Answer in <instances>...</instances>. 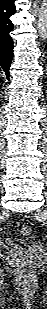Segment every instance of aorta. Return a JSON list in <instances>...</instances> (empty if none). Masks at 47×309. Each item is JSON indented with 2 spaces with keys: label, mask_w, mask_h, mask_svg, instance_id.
<instances>
[{
  "label": "aorta",
  "mask_w": 47,
  "mask_h": 309,
  "mask_svg": "<svg viewBox=\"0 0 47 309\" xmlns=\"http://www.w3.org/2000/svg\"><path fill=\"white\" fill-rule=\"evenodd\" d=\"M38 35L41 40H45L47 37V8L43 5L39 11L37 21Z\"/></svg>",
  "instance_id": "obj_1"
}]
</instances>
